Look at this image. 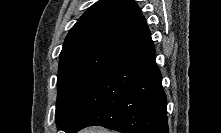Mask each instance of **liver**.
I'll return each mask as SVG.
<instances>
[{
	"mask_svg": "<svg viewBox=\"0 0 221 133\" xmlns=\"http://www.w3.org/2000/svg\"><path fill=\"white\" fill-rule=\"evenodd\" d=\"M80 133H109V131L103 128H89L82 130Z\"/></svg>",
	"mask_w": 221,
	"mask_h": 133,
	"instance_id": "liver-1",
	"label": "liver"
}]
</instances>
